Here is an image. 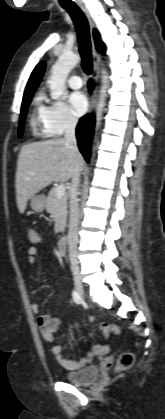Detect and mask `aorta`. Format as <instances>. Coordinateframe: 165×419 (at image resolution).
Returning a JSON list of instances; mask_svg holds the SVG:
<instances>
[{"label":"aorta","instance_id":"aorta-1","mask_svg":"<svg viewBox=\"0 0 165 419\" xmlns=\"http://www.w3.org/2000/svg\"><path fill=\"white\" fill-rule=\"evenodd\" d=\"M79 60V55L73 53H63L53 65L51 76L48 81L51 90V97L53 99H58L64 93L66 77L69 72L78 64ZM108 86V74L105 70H102V86L96 107L97 126L100 124L102 119L103 107L105 106L106 100V90Z\"/></svg>","mask_w":165,"mask_h":419}]
</instances>
